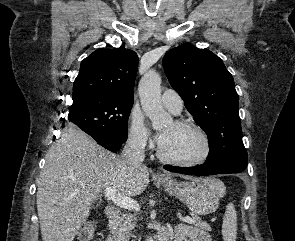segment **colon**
<instances>
[{"label":"colon","instance_id":"colon-1","mask_svg":"<svg viewBox=\"0 0 295 241\" xmlns=\"http://www.w3.org/2000/svg\"><path fill=\"white\" fill-rule=\"evenodd\" d=\"M95 233V224L93 222L86 223L80 230V241H92Z\"/></svg>","mask_w":295,"mask_h":241}]
</instances>
